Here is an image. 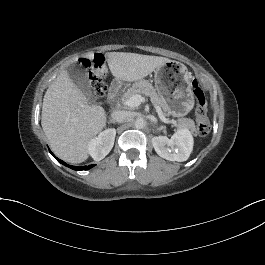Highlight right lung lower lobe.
<instances>
[{"label":"right lung lower lobe","mask_w":265,"mask_h":265,"mask_svg":"<svg viewBox=\"0 0 265 265\" xmlns=\"http://www.w3.org/2000/svg\"><path fill=\"white\" fill-rule=\"evenodd\" d=\"M50 153L52 154V152L50 151ZM53 155V154H52ZM54 156V155H53ZM55 157V156H54ZM56 158V157H55ZM61 164L73 169V170H76V171H80V170H87V169H90L92 167H94L95 165H88V166H82V167H76V166H71V165H68L67 163H65L64 161L56 158Z\"/></svg>","instance_id":"right-lung-lower-lobe-1"}]
</instances>
